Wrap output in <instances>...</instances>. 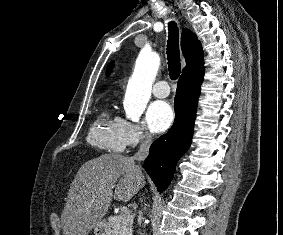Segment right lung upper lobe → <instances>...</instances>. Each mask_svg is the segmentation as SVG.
I'll return each mask as SVG.
<instances>
[{"label": "right lung upper lobe", "instance_id": "right-lung-upper-lobe-1", "mask_svg": "<svg viewBox=\"0 0 283 235\" xmlns=\"http://www.w3.org/2000/svg\"><path fill=\"white\" fill-rule=\"evenodd\" d=\"M181 47L186 60V66L182 71L181 77L188 78L203 73L204 61L202 46L197 37L187 29H184L182 32ZM111 68L112 64H110L107 69L108 73Z\"/></svg>", "mask_w": 283, "mask_h": 235}]
</instances>
